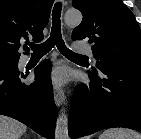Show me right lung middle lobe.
Returning <instances> with one entry per match:
<instances>
[{"label":"right lung middle lobe","instance_id":"dd1d6c3e","mask_svg":"<svg viewBox=\"0 0 141 139\" xmlns=\"http://www.w3.org/2000/svg\"><path fill=\"white\" fill-rule=\"evenodd\" d=\"M19 58H9L0 56V71L17 69Z\"/></svg>","mask_w":141,"mask_h":139}]
</instances>
